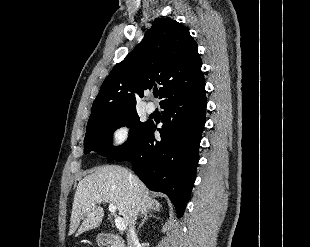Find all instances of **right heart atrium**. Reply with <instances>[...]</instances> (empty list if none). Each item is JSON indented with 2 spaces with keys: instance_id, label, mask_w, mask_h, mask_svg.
I'll return each mask as SVG.
<instances>
[{
  "instance_id": "obj_1",
  "label": "right heart atrium",
  "mask_w": 310,
  "mask_h": 247,
  "mask_svg": "<svg viewBox=\"0 0 310 247\" xmlns=\"http://www.w3.org/2000/svg\"><path fill=\"white\" fill-rule=\"evenodd\" d=\"M130 137V128L126 124L116 126L110 135V142L113 146L120 147L124 145Z\"/></svg>"
}]
</instances>
